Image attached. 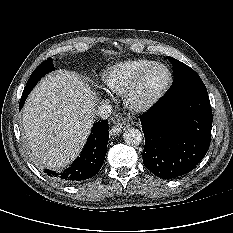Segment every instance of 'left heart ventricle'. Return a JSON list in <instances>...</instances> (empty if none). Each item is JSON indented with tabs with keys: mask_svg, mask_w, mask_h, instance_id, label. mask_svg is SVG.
<instances>
[{
	"mask_svg": "<svg viewBox=\"0 0 233 233\" xmlns=\"http://www.w3.org/2000/svg\"><path fill=\"white\" fill-rule=\"evenodd\" d=\"M167 72L162 67L154 68L145 78L139 92L138 99L145 100L156 93L166 82Z\"/></svg>",
	"mask_w": 233,
	"mask_h": 233,
	"instance_id": "1",
	"label": "left heart ventricle"
}]
</instances>
